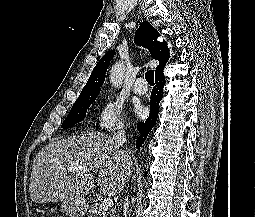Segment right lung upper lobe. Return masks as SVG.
<instances>
[{"instance_id": "1", "label": "right lung upper lobe", "mask_w": 255, "mask_h": 217, "mask_svg": "<svg viewBox=\"0 0 255 217\" xmlns=\"http://www.w3.org/2000/svg\"><path fill=\"white\" fill-rule=\"evenodd\" d=\"M159 34L157 30L148 22L142 23L136 31L134 41L137 45L146 47L152 57L159 61L156 67L155 75L163 72V69L169 59V50L165 41H157ZM115 51L106 53L93 69L90 78L80 94L99 92L104 83L105 74L110 60L113 58Z\"/></svg>"}]
</instances>
